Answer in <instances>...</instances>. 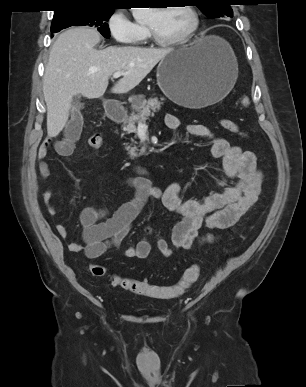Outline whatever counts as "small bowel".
<instances>
[{
	"label": "small bowel",
	"mask_w": 306,
	"mask_h": 387,
	"mask_svg": "<svg viewBox=\"0 0 306 387\" xmlns=\"http://www.w3.org/2000/svg\"><path fill=\"white\" fill-rule=\"evenodd\" d=\"M165 124L171 130H177L181 125L180 120L172 114L165 116ZM80 132L81 122L78 119L70 121L63 137L53 143L56 153L60 156H71ZM186 132L191 136L206 139L210 155L221 159L224 177L217 182L220 190L202 199H183L182 186L178 182L159 188L146 178H133L129 181L132 196L114 211L94 207L81 210L79 220L83 227V242L69 243L71 252H82L88 258L95 259L108 250L119 247L130 234L133 222L149 199L160 200L168 211L180 218L172 228V246L153 227L148 226L145 228L144 237L123 250L125 258L146 259L152 250L150 236L154 237L159 252L170 257L175 250L190 249L199 238L203 226L228 229L238 222L256 203L261 192L262 172L258 168L256 155L252 151L231 145L223 137L214 136L212 131L202 124H189L186 126ZM50 147V140H45L38 149L39 173L43 178L49 176L48 165L43 159L48 155ZM43 199L49 213L55 215L51 189L45 190ZM56 230L60 236H67L65 226L59 224ZM205 239L210 241L212 237Z\"/></svg>",
	"instance_id": "small-bowel-1"
}]
</instances>
